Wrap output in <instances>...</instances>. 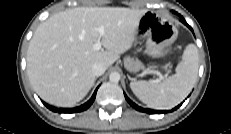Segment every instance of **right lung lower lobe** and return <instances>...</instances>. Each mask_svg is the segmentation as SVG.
Instances as JSON below:
<instances>
[{
	"label": "right lung lower lobe",
	"mask_w": 231,
	"mask_h": 134,
	"mask_svg": "<svg viewBox=\"0 0 231 134\" xmlns=\"http://www.w3.org/2000/svg\"><path fill=\"white\" fill-rule=\"evenodd\" d=\"M98 89V88H97ZM97 89L95 90L94 94L92 95L91 99L86 102L85 104L81 105V106H78L76 108H70V109H67V108H60V109H57L55 107H52V106H49L48 104L44 103L45 106L54 111V112H59V113H74V112H80V111H84L86 110L87 108H89V106L94 102L95 100V97H96V92H97Z\"/></svg>",
	"instance_id": "right-lung-lower-lobe-1"
}]
</instances>
